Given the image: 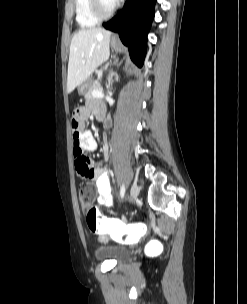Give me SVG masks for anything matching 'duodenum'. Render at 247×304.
<instances>
[{"label": "duodenum", "instance_id": "410a0bca", "mask_svg": "<svg viewBox=\"0 0 247 304\" xmlns=\"http://www.w3.org/2000/svg\"><path fill=\"white\" fill-rule=\"evenodd\" d=\"M90 81V80H89ZM96 117H97V119L98 120H102L103 119V117H104V110H97L96 111Z\"/></svg>", "mask_w": 247, "mask_h": 304}]
</instances>
